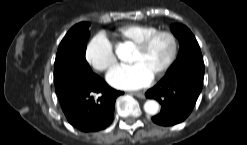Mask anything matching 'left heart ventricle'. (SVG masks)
Returning a JSON list of instances; mask_svg holds the SVG:
<instances>
[{
  "label": "left heart ventricle",
  "instance_id": "left-heart-ventricle-1",
  "mask_svg": "<svg viewBox=\"0 0 247 145\" xmlns=\"http://www.w3.org/2000/svg\"><path fill=\"white\" fill-rule=\"evenodd\" d=\"M171 48L172 44L170 39L166 36H160L152 42L146 51L139 52L134 49L129 63L141 64L152 75H154L167 61L171 53Z\"/></svg>",
  "mask_w": 247,
  "mask_h": 145
}]
</instances>
